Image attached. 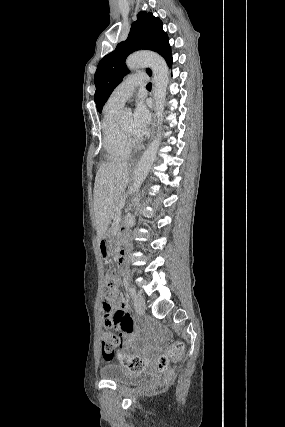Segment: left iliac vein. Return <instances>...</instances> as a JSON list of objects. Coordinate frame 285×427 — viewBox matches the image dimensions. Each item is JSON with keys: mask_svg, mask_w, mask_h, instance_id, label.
<instances>
[{"mask_svg": "<svg viewBox=\"0 0 285 427\" xmlns=\"http://www.w3.org/2000/svg\"><path fill=\"white\" fill-rule=\"evenodd\" d=\"M135 310L138 313H142L145 310V299L142 295L137 294L134 299Z\"/></svg>", "mask_w": 285, "mask_h": 427, "instance_id": "left-iliac-vein-1", "label": "left iliac vein"}]
</instances>
